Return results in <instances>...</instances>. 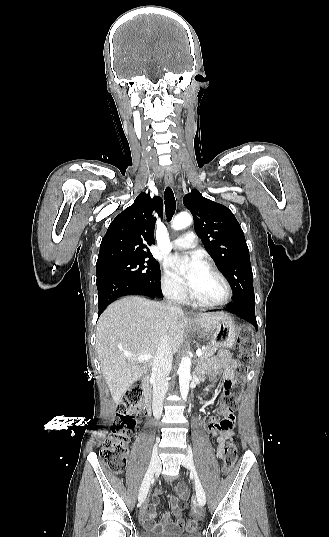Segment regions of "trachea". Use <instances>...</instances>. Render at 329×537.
Returning <instances> with one entry per match:
<instances>
[{
	"label": "trachea",
	"mask_w": 329,
	"mask_h": 537,
	"mask_svg": "<svg viewBox=\"0 0 329 537\" xmlns=\"http://www.w3.org/2000/svg\"><path fill=\"white\" fill-rule=\"evenodd\" d=\"M176 209V201L172 189L168 186L165 189V211L167 220H171Z\"/></svg>",
	"instance_id": "3493384b"
}]
</instances>
